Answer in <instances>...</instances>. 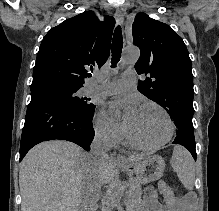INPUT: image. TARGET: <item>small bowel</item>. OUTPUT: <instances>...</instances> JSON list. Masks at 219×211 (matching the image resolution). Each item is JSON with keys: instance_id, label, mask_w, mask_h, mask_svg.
I'll return each instance as SVG.
<instances>
[{"instance_id": "c3829d8e", "label": "small bowel", "mask_w": 219, "mask_h": 211, "mask_svg": "<svg viewBox=\"0 0 219 211\" xmlns=\"http://www.w3.org/2000/svg\"><path fill=\"white\" fill-rule=\"evenodd\" d=\"M195 197L192 194L185 195L173 206H161L155 190L148 189L145 194V206L142 211H194ZM174 208V209H172Z\"/></svg>"}]
</instances>
